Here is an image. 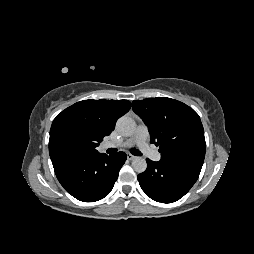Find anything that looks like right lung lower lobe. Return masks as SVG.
<instances>
[{
	"instance_id": "98d812e1",
	"label": "right lung lower lobe",
	"mask_w": 254,
	"mask_h": 254,
	"mask_svg": "<svg viewBox=\"0 0 254 254\" xmlns=\"http://www.w3.org/2000/svg\"><path fill=\"white\" fill-rule=\"evenodd\" d=\"M51 160L59 182L69 194L83 202H94L110 193L126 154L63 155Z\"/></svg>"
}]
</instances>
